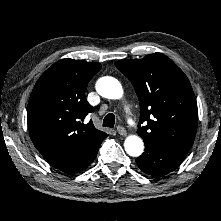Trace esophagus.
I'll return each mask as SVG.
<instances>
[{"mask_svg":"<svg viewBox=\"0 0 221 221\" xmlns=\"http://www.w3.org/2000/svg\"><path fill=\"white\" fill-rule=\"evenodd\" d=\"M117 132H118V134H120V135H122V136H126L127 135V132H126V130H125V128L123 127V126H117Z\"/></svg>","mask_w":221,"mask_h":221,"instance_id":"obj_1","label":"esophagus"}]
</instances>
